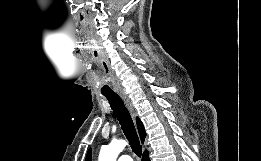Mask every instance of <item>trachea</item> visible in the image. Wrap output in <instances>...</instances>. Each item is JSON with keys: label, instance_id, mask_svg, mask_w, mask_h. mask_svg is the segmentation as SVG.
Returning a JSON list of instances; mask_svg holds the SVG:
<instances>
[{"label": "trachea", "instance_id": "1", "mask_svg": "<svg viewBox=\"0 0 261 161\" xmlns=\"http://www.w3.org/2000/svg\"><path fill=\"white\" fill-rule=\"evenodd\" d=\"M109 104L115 113L121 129L123 130L124 135L129 141L132 151L138 156L142 155V146L139 142V138L133 124L132 118L129 111L124 105L123 100L118 95H104Z\"/></svg>", "mask_w": 261, "mask_h": 161}]
</instances>
